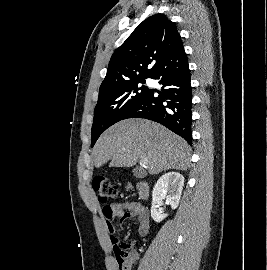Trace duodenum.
<instances>
[{"mask_svg":"<svg viewBox=\"0 0 267 270\" xmlns=\"http://www.w3.org/2000/svg\"><path fill=\"white\" fill-rule=\"evenodd\" d=\"M138 195L141 200H147L149 197V187L145 181H139L137 183Z\"/></svg>","mask_w":267,"mask_h":270,"instance_id":"1","label":"duodenum"}]
</instances>
